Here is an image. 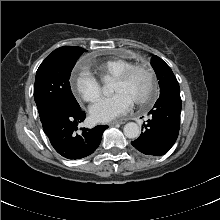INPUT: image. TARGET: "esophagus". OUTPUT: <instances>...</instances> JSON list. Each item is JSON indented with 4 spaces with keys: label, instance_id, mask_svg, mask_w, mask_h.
<instances>
[{
    "label": "esophagus",
    "instance_id": "obj_1",
    "mask_svg": "<svg viewBox=\"0 0 220 220\" xmlns=\"http://www.w3.org/2000/svg\"><path fill=\"white\" fill-rule=\"evenodd\" d=\"M125 120H115L113 122L110 123V125H119V124H124Z\"/></svg>",
    "mask_w": 220,
    "mask_h": 220
}]
</instances>
